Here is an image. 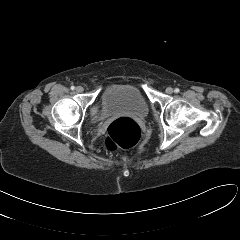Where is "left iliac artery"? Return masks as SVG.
<instances>
[{
  "instance_id": "left-iliac-artery-1",
  "label": "left iliac artery",
  "mask_w": 240,
  "mask_h": 240,
  "mask_svg": "<svg viewBox=\"0 0 240 240\" xmlns=\"http://www.w3.org/2000/svg\"><path fill=\"white\" fill-rule=\"evenodd\" d=\"M179 91H180L179 88H175L174 90L175 93H179Z\"/></svg>"
}]
</instances>
